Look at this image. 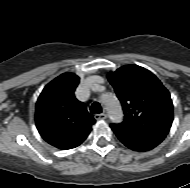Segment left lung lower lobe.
<instances>
[{"label": "left lung lower lobe", "instance_id": "obj_1", "mask_svg": "<svg viewBox=\"0 0 190 188\" xmlns=\"http://www.w3.org/2000/svg\"><path fill=\"white\" fill-rule=\"evenodd\" d=\"M110 127L118 139L134 151L151 150L160 144L167 134L138 130L123 124H111Z\"/></svg>", "mask_w": 190, "mask_h": 188}]
</instances>
